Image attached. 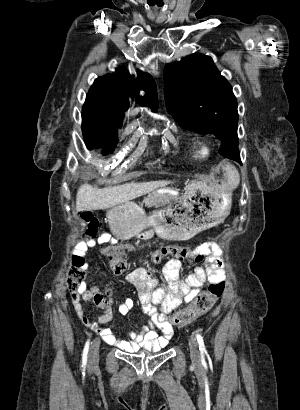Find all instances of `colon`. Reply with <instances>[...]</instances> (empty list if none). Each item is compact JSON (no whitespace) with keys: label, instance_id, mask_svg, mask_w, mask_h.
I'll return each instance as SVG.
<instances>
[{"label":"colon","instance_id":"obj_1","mask_svg":"<svg viewBox=\"0 0 300 410\" xmlns=\"http://www.w3.org/2000/svg\"><path fill=\"white\" fill-rule=\"evenodd\" d=\"M82 218L89 223L88 235L94 237L96 234V223L92 221L88 212L81 214ZM174 257L183 260H193L201 262L204 259L202 252L186 245H164L158 248L153 255L155 263L161 262L166 257ZM84 260L80 257L73 259L71 268L68 271L67 284L71 292L80 291L85 280V270L83 268ZM109 267L115 274H121L128 267L127 260L120 255H110ZM225 289L224 281L212 282L208 289L196 295L192 304L186 309L176 312L173 316V322L177 326H184L198 317L205 314L214 303L221 297Z\"/></svg>","mask_w":300,"mask_h":410}]
</instances>
